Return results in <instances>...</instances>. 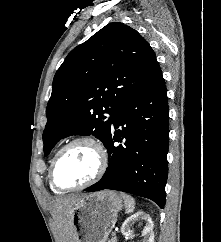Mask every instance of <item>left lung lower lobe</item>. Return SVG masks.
I'll return each mask as SVG.
<instances>
[{
    "instance_id": "1",
    "label": "left lung lower lobe",
    "mask_w": 221,
    "mask_h": 242,
    "mask_svg": "<svg viewBox=\"0 0 221 242\" xmlns=\"http://www.w3.org/2000/svg\"><path fill=\"white\" fill-rule=\"evenodd\" d=\"M121 130L113 131L114 128ZM120 142L119 145H114ZM106 173L85 191L113 189L153 200L164 208L168 175L169 108L160 67L120 108L104 143Z\"/></svg>"
}]
</instances>
